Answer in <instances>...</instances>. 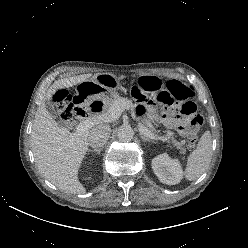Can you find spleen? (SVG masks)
I'll return each instance as SVG.
<instances>
[{
	"mask_svg": "<svg viewBox=\"0 0 248 248\" xmlns=\"http://www.w3.org/2000/svg\"><path fill=\"white\" fill-rule=\"evenodd\" d=\"M212 158V139L209 131H206L196 149L189 155L185 169V177L189 181L198 179L209 167Z\"/></svg>",
	"mask_w": 248,
	"mask_h": 248,
	"instance_id": "spleen-1",
	"label": "spleen"
}]
</instances>
